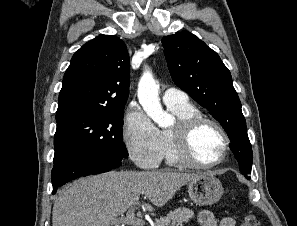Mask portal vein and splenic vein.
Instances as JSON below:
<instances>
[{"label": "portal vein and splenic vein", "instance_id": "obj_1", "mask_svg": "<svg viewBox=\"0 0 297 226\" xmlns=\"http://www.w3.org/2000/svg\"><path fill=\"white\" fill-rule=\"evenodd\" d=\"M133 213H134V208L129 209L126 215L122 214L120 218L115 219V223L118 222V223H126L128 225H133V226H143L145 222L140 218L134 217Z\"/></svg>", "mask_w": 297, "mask_h": 226}]
</instances>
